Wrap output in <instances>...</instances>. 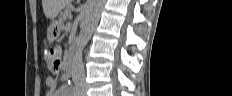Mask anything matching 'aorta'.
Returning a JSON list of instances; mask_svg holds the SVG:
<instances>
[{"instance_id":"obj_1","label":"aorta","mask_w":232,"mask_h":96,"mask_svg":"<svg viewBox=\"0 0 232 96\" xmlns=\"http://www.w3.org/2000/svg\"><path fill=\"white\" fill-rule=\"evenodd\" d=\"M105 0H89L84 24L76 41V51L72 62V72L76 76L84 74L83 50L97 25Z\"/></svg>"}]
</instances>
